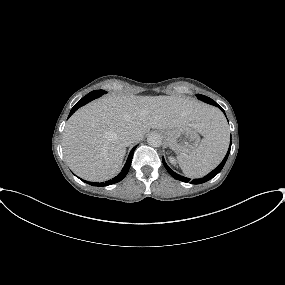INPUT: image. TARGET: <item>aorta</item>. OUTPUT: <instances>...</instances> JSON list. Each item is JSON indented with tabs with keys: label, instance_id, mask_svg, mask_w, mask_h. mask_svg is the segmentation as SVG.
Wrapping results in <instances>:
<instances>
[{
	"label": "aorta",
	"instance_id": "1",
	"mask_svg": "<svg viewBox=\"0 0 285 285\" xmlns=\"http://www.w3.org/2000/svg\"><path fill=\"white\" fill-rule=\"evenodd\" d=\"M147 142L152 147H159L162 144V138L158 133H150L147 137Z\"/></svg>",
	"mask_w": 285,
	"mask_h": 285
}]
</instances>
